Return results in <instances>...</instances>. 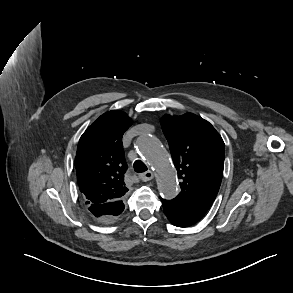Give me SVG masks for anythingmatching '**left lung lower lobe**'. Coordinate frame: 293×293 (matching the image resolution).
I'll list each match as a JSON object with an SVG mask.
<instances>
[{
	"label": "left lung lower lobe",
	"mask_w": 293,
	"mask_h": 293,
	"mask_svg": "<svg viewBox=\"0 0 293 293\" xmlns=\"http://www.w3.org/2000/svg\"><path fill=\"white\" fill-rule=\"evenodd\" d=\"M160 199L166 216L177 227L191 226L205 215L204 212L191 208L176 198L171 201Z\"/></svg>",
	"instance_id": "0a47b994"
}]
</instances>
